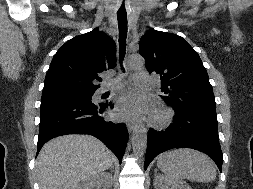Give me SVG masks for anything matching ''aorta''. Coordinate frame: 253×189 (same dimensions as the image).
<instances>
[{
	"mask_svg": "<svg viewBox=\"0 0 253 189\" xmlns=\"http://www.w3.org/2000/svg\"><path fill=\"white\" fill-rule=\"evenodd\" d=\"M144 60L141 56L129 58L128 66L132 69L141 68ZM147 148V131L144 126H138L132 135V149L136 156H143Z\"/></svg>",
	"mask_w": 253,
	"mask_h": 189,
	"instance_id": "762f6f07",
	"label": "aorta"
}]
</instances>
